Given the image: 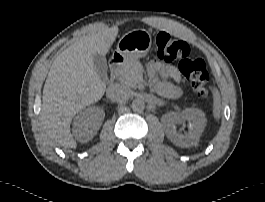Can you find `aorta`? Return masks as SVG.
Returning a JSON list of instances; mask_svg holds the SVG:
<instances>
[{
  "label": "aorta",
  "instance_id": "aorta-1",
  "mask_svg": "<svg viewBox=\"0 0 265 202\" xmlns=\"http://www.w3.org/2000/svg\"><path fill=\"white\" fill-rule=\"evenodd\" d=\"M134 112H142L145 109V102L142 99H135L131 104Z\"/></svg>",
  "mask_w": 265,
  "mask_h": 202
}]
</instances>
